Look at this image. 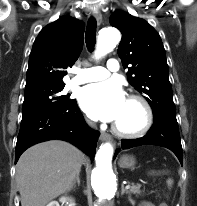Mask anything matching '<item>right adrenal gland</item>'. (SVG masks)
<instances>
[{
  "label": "right adrenal gland",
  "mask_w": 197,
  "mask_h": 206,
  "mask_svg": "<svg viewBox=\"0 0 197 206\" xmlns=\"http://www.w3.org/2000/svg\"><path fill=\"white\" fill-rule=\"evenodd\" d=\"M76 184L80 185V173H77L75 180L72 183L71 189H74L76 187Z\"/></svg>",
  "instance_id": "obj_1"
}]
</instances>
